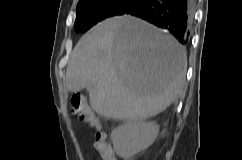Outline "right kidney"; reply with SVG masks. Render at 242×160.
I'll return each mask as SVG.
<instances>
[{
    "mask_svg": "<svg viewBox=\"0 0 242 160\" xmlns=\"http://www.w3.org/2000/svg\"><path fill=\"white\" fill-rule=\"evenodd\" d=\"M158 133L159 125L155 122L128 121L112 131L111 140L116 154L129 159L147 149Z\"/></svg>",
    "mask_w": 242,
    "mask_h": 160,
    "instance_id": "1",
    "label": "right kidney"
}]
</instances>
